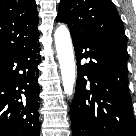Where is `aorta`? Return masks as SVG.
Wrapping results in <instances>:
<instances>
[{
  "label": "aorta",
  "instance_id": "aorta-1",
  "mask_svg": "<svg viewBox=\"0 0 136 136\" xmlns=\"http://www.w3.org/2000/svg\"><path fill=\"white\" fill-rule=\"evenodd\" d=\"M54 40L61 69L64 91L68 96H71L75 84L76 67L72 40L66 25H59L54 33Z\"/></svg>",
  "mask_w": 136,
  "mask_h": 136
}]
</instances>
